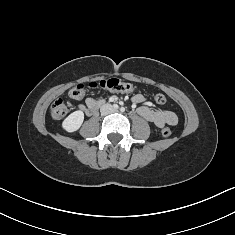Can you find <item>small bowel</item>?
Segmentation results:
<instances>
[{
	"label": "small bowel",
	"mask_w": 235,
	"mask_h": 235,
	"mask_svg": "<svg viewBox=\"0 0 235 235\" xmlns=\"http://www.w3.org/2000/svg\"><path fill=\"white\" fill-rule=\"evenodd\" d=\"M134 102L140 104L137 108V113L149 122H152L158 128H163L166 125L175 126L178 123V116L170 110H158L149 107L145 103V98L142 95H135ZM103 99L96 97H88L83 104L79 105L81 110H87L93 105L102 103Z\"/></svg>",
	"instance_id": "1"
}]
</instances>
